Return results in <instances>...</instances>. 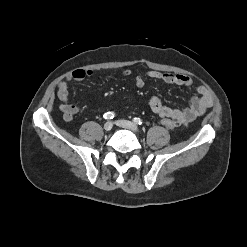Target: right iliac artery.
<instances>
[{"label":"right iliac artery","mask_w":247,"mask_h":247,"mask_svg":"<svg viewBox=\"0 0 247 247\" xmlns=\"http://www.w3.org/2000/svg\"><path fill=\"white\" fill-rule=\"evenodd\" d=\"M104 119L109 120V119H113L115 117V113L114 112H106L103 115Z\"/></svg>","instance_id":"obj_1"}]
</instances>
